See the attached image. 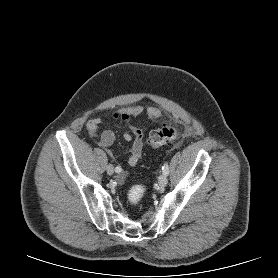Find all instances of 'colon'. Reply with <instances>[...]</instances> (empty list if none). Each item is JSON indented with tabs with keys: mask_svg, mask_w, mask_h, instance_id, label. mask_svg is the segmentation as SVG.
I'll use <instances>...</instances> for the list:
<instances>
[{
	"mask_svg": "<svg viewBox=\"0 0 278 278\" xmlns=\"http://www.w3.org/2000/svg\"><path fill=\"white\" fill-rule=\"evenodd\" d=\"M92 131V133H95ZM178 137V130L171 125H165L150 132L148 144L151 147L158 148L165 144L173 142ZM146 188L143 185H135L128 192V200L131 205H137L143 198Z\"/></svg>",
	"mask_w": 278,
	"mask_h": 278,
	"instance_id": "obj_1",
	"label": "colon"
}]
</instances>
